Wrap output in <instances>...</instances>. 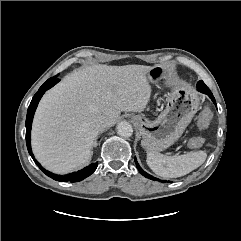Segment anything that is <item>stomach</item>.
Instances as JSON below:
<instances>
[{
  "instance_id": "stomach-1",
  "label": "stomach",
  "mask_w": 241,
  "mask_h": 241,
  "mask_svg": "<svg viewBox=\"0 0 241 241\" xmlns=\"http://www.w3.org/2000/svg\"><path fill=\"white\" fill-rule=\"evenodd\" d=\"M169 74L170 68L159 64L151 68L148 78L150 83L160 85ZM199 102L198 95L188 86H171L166 108L156 120L150 121L140 115L132 117L142 136V147L150 152H159L173 145L198 111Z\"/></svg>"
}]
</instances>
